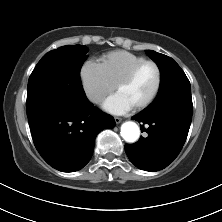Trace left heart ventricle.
Returning a JSON list of instances; mask_svg holds the SVG:
<instances>
[{
    "label": "left heart ventricle",
    "mask_w": 222,
    "mask_h": 222,
    "mask_svg": "<svg viewBox=\"0 0 222 222\" xmlns=\"http://www.w3.org/2000/svg\"><path fill=\"white\" fill-rule=\"evenodd\" d=\"M157 82V72L152 65L143 66L128 84L117 89L134 107L152 94Z\"/></svg>",
    "instance_id": "1"
}]
</instances>
